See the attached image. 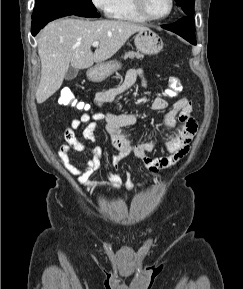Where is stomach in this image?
<instances>
[{
    "mask_svg": "<svg viewBox=\"0 0 243 289\" xmlns=\"http://www.w3.org/2000/svg\"><path fill=\"white\" fill-rule=\"evenodd\" d=\"M134 43L136 48L147 55H154L159 53L163 48L162 39L151 29H145L138 31L135 35ZM118 61H109L106 63H100L87 71V76L94 82L103 81L116 70L120 68Z\"/></svg>",
    "mask_w": 243,
    "mask_h": 289,
    "instance_id": "1",
    "label": "stomach"
}]
</instances>
